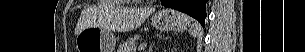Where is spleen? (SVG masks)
I'll return each mask as SVG.
<instances>
[{
	"label": "spleen",
	"instance_id": "obj_1",
	"mask_svg": "<svg viewBox=\"0 0 305 52\" xmlns=\"http://www.w3.org/2000/svg\"><path fill=\"white\" fill-rule=\"evenodd\" d=\"M201 31L200 26L198 25V23H194V25L189 29V33L192 36H196L199 34V32Z\"/></svg>",
	"mask_w": 305,
	"mask_h": 52
}]
</instances>
